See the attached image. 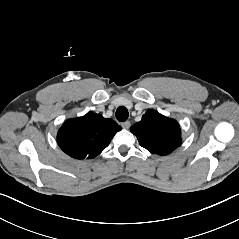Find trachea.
Segmentation results:
<instances>
[{
	"instance_id": "obj_1",
	"label": "trachea",
	"mask_w": 239,
	"mask_h": 239,
	"mask_svg": "<svg viewBox=\"0 0 239 239\" xmlns=\"http://www.w3.org/2000/svg\"><path fill=\"white\" fill-rule=\"evenodd\" d=\"M128 115H129L128 110L125 107L120 106L117 108L116 118L118 121L125 122L128 119Z\"/></svg>"
}]
</instances>
